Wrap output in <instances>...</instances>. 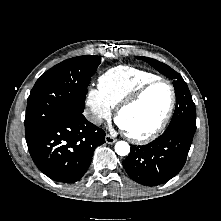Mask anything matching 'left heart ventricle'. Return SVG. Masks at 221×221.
I'll use <instances>...</instances> for the list:
<instances>
[{"label":"left heart ventricle","mask_w":221,"mask_h":221,"mask_svg":"<svg viewBox=\"0 0 221 221\" xmlns=\"http://www.w3.org/2000/svg\"><path fill=\"white\" fill-rule=\"evenodd\" d=\"M170 98L171 93L167 84L158 83L150 87L136 104L122 111L120 115L122 127L135 135L150 133L162 121Z\"/></svg>","instance_id":"1"}]
</instances>
